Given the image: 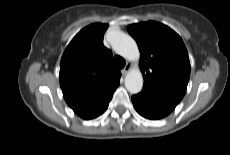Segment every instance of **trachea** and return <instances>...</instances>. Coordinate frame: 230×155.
Returning <instances> with one entry per match:
<instances>
[{
    "label": "trachea",
    "instance_id": "trachea-1",
    "mask_svg": "<svg viewBox=\"0 0 230 155\" xmlns=\"http://www.w3.org/2000/svg\"><path fill=\"white\" fill-rule=\"evenodd\" d=\"M113 61H114L115 66L119 69H122L126 64V61L124 60V58L118 55L114 57Z\"/></svg>",
    "mask_w": 230,
    "mask_h": 155
}]
</instances>
